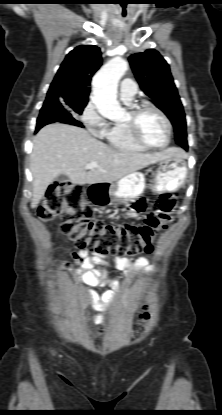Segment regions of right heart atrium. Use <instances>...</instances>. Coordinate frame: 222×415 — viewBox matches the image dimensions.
Here are the masks:
<instances>
[{
    "label": "right heart atrium",
    "mask_w": 222,
    "mask_h": 415,
    "mask_svg": "<svg viewBox=\"0 0 222 415\" xmlns=\"http://www.w3.org/2000/svg\"><path fill=\"white\" fill-rule=\"evenodd\" d=\"M79 119L90 133L98 137H104L105 133L110 128L108 121L99 112L93 101H89L86 104Z\"/></svg>",
    "instance_id": "obj_1"
}]
</instances>
